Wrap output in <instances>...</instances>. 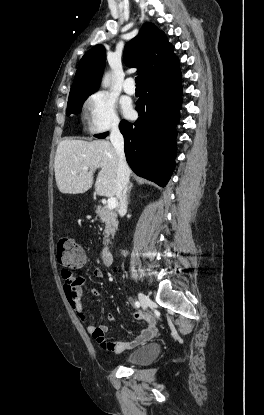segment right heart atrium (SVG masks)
Returning a JSON list of instances; mask_svg holds the SVG:
<instances>
[{
	"label": "right heart atrium",
	"mask_w": 264,
	"mask_h": 415,
	"mask_svg": "<svg viewBox=\"0 0 264 415\" xmlns=\"http://www.w3.org/2000/svg\"><path fill=\"white\" fill-rule=\"evenodd\" d=\"M87 124L93 132L117 129L119 117L115 101L104 92L92 94L86 101Z\"/></svg>",
	"instance_id": "1"
}]
</instances>
